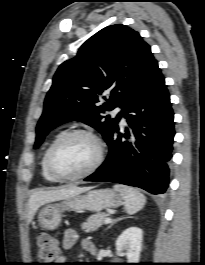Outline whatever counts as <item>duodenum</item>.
Listing matches in <instances>:
<instances>
[{"label":"duodenum","mask_w":205,"mask_h":265,"mask_svg":"<svg viewBox=\"0 0 205 265\" xmlns=\"http://www.w3.org/2000/svg\"><path fill=\"white\" fill-rule=\"evenodd\" d=\"M95 246L94 245H90L88 248H87V252L91 255H94L95 254Z\"/></svg>","instance_id":"1"}]
</instances>
